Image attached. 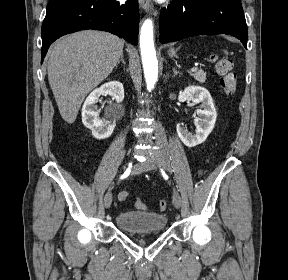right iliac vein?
<instances>
[{"label": "right iliac vein", "mask_w": 288, "mask_h": 280, "mask_svg": "<svg viewBox=\"0 0 288 280\" xmlns=\"http://www.w3.org/2000/svg\"><path fill=\"white\" fill-rule=\"evenodd\" d=\"M112 204V192L110 190H108L104 196V205L105 208H110Z\"/></svg>", "instance_id": "1"}]
</instances>
